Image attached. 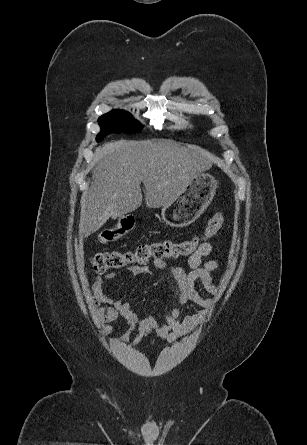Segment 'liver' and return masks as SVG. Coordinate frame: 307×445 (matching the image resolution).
Returning <instances> with one entry per match:
<instances>
[{"instance_id":"obj_1","label":"liver","mask_w":307,"mask_h":445,"mask_svg":"<svg viewBox=\"0 0 307 445\" xmlns=\"http://www.w3.org/2000/svg\"><path fill=\"white\" fill-rule=\"evenodd\" d=\"M93 182L81 208L80 233L89 237L108 218L124 216L142 204L141 182L148 208L166 206L182 194L195 174L212 166L213 154L176 140H116L98 146Z\"/></svg>"}]
</instances>
